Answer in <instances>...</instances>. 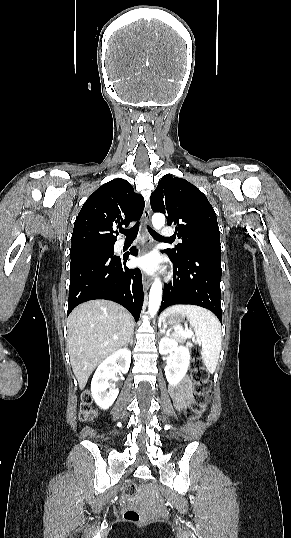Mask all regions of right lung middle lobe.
Returning a JSON list of instances; mask_svg holds the SVG:
<instances>
[{"instance_id": "dd1d6c3e", "label": "right lung middle lobe", "mask_w": 291, "mask_h": 538, "mask_svg": "<svg viewBox=\"0 0 291 538\" xmlns=\"http://www.w3.org/2000/svg\"><path fill=\"white\" fill-rule=\"evenodd\" d=\"M97 254L114 255V245L88 246L70 250L71 260Z\"/></svg>"}]
</instances>
